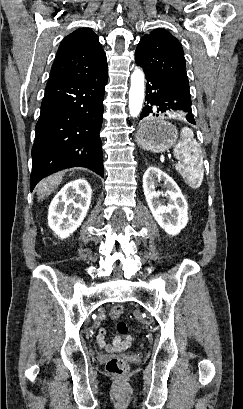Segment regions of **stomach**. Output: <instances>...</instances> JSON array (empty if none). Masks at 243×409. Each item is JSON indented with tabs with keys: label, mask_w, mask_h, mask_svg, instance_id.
<instances>
[{
	"label": "stomach",
	"mask_w": 243,
	"mask_h": 409,
	"mask_svg": "<svg viewBox=\"0 0 243 409\" xmlns=\"http://www.w3.org/2000/svg\"><path fill=\"white\" fill-rule=\"evenodd\" d=\"M178 138L177 129L163 118H151L145 121L137 133V143L144 150L155 153L165 152Z\"/></svg>",
	"instance_id": "0dacf381"
}]
</instances>
